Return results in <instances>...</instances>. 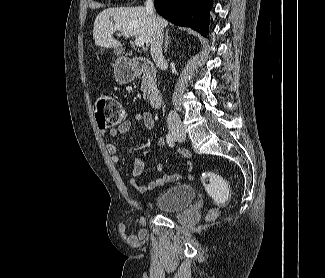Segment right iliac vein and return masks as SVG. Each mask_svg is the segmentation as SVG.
<instances>
[{
    "mask_svg": "<svg viewBox=\"0 0 325 278\" xmlns=\"http://www.w3.org/2000/svg\"><path fill=\"white\" fill-rule=\"evenodd\" d=\"M171 133L177 138H182V137L185 136V131H184L183 128L172 127L171 128Z\"/></svg>",
    "mask_w": 325,
    "mask_h": 278,
    "instance_id": "1",
    "label": "right iliac vein"
}]
</instances>
